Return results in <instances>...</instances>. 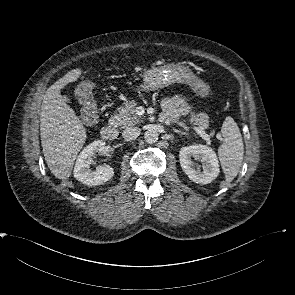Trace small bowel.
<instances>
[{
    "instance_id": "obj_1",
    "label": "small bowel",
    "mask_w": 295,
    "mask_h": 295,
    "mask_svg": "<svg viewBox=\"0 0 295 295\" xmlns=\"http://www.w3.org/2000/svg\"><path fill=\"white\" fill-rule=\"evenodd\" d=\"M162 119L167 122H174L190 112L188 99L183 95H172L162 102Z\"/></svg>"
}]
</instances>
